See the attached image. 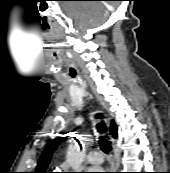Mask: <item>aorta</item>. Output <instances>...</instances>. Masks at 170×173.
<instances>
[{
  "label": "aorta",
  "instance_id": "1",
  "mask_svg": "<svg viewBox=\"0 0 170 173\" xmlns=\"http://www.w3.org/2000/svg\"><path fill=\"white\" fill-rule=\"evenodd\" d=\"M84 154L77 149L68 151L67 161L73 170H78L83 162Z\"/></svg>",
  "mask_w": 170,
  "mask_h": 173
}]
</instances>
